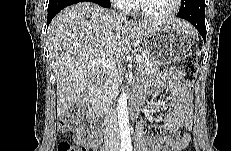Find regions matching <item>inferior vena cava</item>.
Here are the masks:
<instances>
[{"mask_svg": "<svg viewBox=\"0 0 231 151\" xmlns=\"http://www.w3.org/2000/svg\"><path fill=\"white\" fill-rule=\"evenodd\" d=\"M113 7L115 9V5ZM118 14L121 18H126L125 15L122 14V12H119ZM104 126H105V130H104L105 145L118 148L120 144V135H119L116 111L110 105H107Z\"/></svg>", "mask_w": 231, "mask_h": 151, "instance_id": "obj_1", "label": "inferior vena cava"}]
</instances>
